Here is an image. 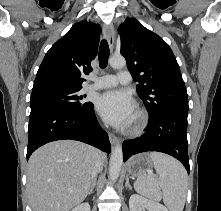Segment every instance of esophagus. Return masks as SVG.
<instances>
[{"label":"esophagus","mask_w":221,"mask_h":211,"mask_svg":"<svg viewBox=\"0 0 221 211\" xmlns=\"http://www.w3.org/2000/svg\"><path fill=\"white\" fill-rule=\"evenodd\" d=\"M103 30H104L105 36L107 38L110 50L113 51L114 41H115L114 27L111 24L104 25ZM109 140L112 145H115L118 142V138L112 133H109Z\"/></svg>","instance_id":"34e87169"}]
</instances>
